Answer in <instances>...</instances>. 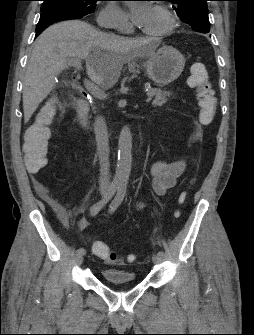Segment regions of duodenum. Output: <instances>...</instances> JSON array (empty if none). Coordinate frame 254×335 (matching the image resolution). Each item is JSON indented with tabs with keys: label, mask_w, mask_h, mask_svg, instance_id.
I'll return each instance as SVG.
<instances>
[{
	"label": "duodenum",
	"mask_w": 254,
	"mask_h": 335,
	"mask_svg": "<svg viewBox=\"0 0 254 335\" xmlns=\"http://www.w3.org/2000/svg\"><path fill=\"white\" fill-rule=\"evenodd\" d=\"M88 101L80 99L77 107L78 120L81 127L84 129L87 127V113H88Z\"/></svg>",
	"instance_id": "obj_1"
}]
</instances>
